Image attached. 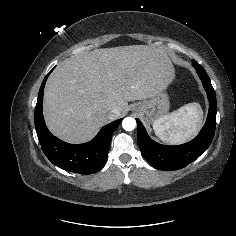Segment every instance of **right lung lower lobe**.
I'll return each mask as SVG.
<instances>
[{
    "label": "right lung lower lobe",
    "instance_id": "98d812e1",
    "mask_svg": "<svg viewBox=\"0 0 236 236\" xmlns=\"http://www.w3.org/2000/svg\"><path fill=\"white\" fill-rule=\"evenodd\" d=\"M44 78L35 107V128L42 150L46 157L57 167L79 174H91L100 171L108 158L111 137L122 119L102 127L97 136L85 144L65 143L53 136L45 125L42 104L46 80Z\"/></svg>",
    "mask_w": 236,
    "mask_h": 236
}]
</instances>
